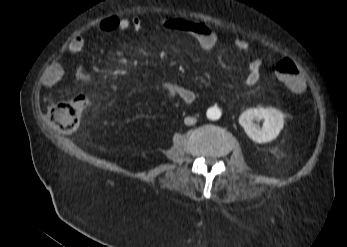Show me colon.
Instances as JSON below:
<instances>
[{"mask_svg": "<svg viewBox=\"0 0 347 247\" xmlns=\"http://www.w3.org/2000/svg\"><path fill=\"white\" fill-rule=\"evenodd\" d=\"M272 73L277 80L293 91H301L304 81L298 66L288 58L275 62ZM94 105V98L89 93H82L78 98L67 101H55L48 109L50 122L61 132L70 133L75 131L81 120L84 110H89Z\"/></svg>", "mask_w": 347, "mask_h": 247, "instance_id": "5ec220e1", "label": "colon"}]
</instances>
